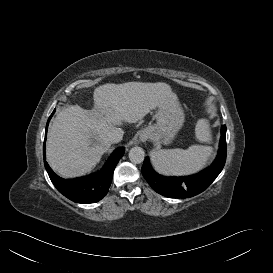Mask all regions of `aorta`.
Returning <instances> with one entry per match:
<instances>
[{
    "label": "aorta",
    "mask_w": 273,
    "mask_h": 273,
    "mask_svg": "<svg viewBox=\"0 0 273 273\" xmlns=\"http://www.w3.org/2000/svg\"><path fill=\"white\" fill-rule=\"evenodd\" d=\"M145 152L141 147H133L129 151V159L134 164H140L144 161Z\"/></svg>",
    "instance_id": "1"
}]
</instances>
